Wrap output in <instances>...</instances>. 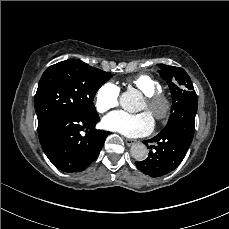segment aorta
<instances>
[{
    "label": "aorta",
    "mask_w": 229,
    "mask_h": 229,
    "mask_svg": "<svg viewBox=\"0 0 229 229\" xmlns=\"http://www.w3.org/2000/svg\"><path fill=\"white\" fill-rule=\"evenodd\" d=\"M141 96L135 91H126L120 97V105L129 112L137 111L139 108ZM131 156L136 160H144L148 155L147 147L142 143H136L131 146Z\"/></svg>",
    "instance_id": "aorta-1"
}]
</instances>
